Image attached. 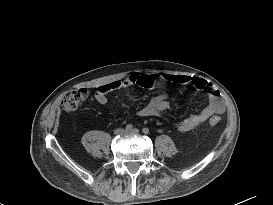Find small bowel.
<instances>
[{
	"instance_id": "obj_1",
	"label": "small bowel",
	"mask_w": 273,
	"mask_h": 205,
	"mask_svg": "<svg viewBox=\"0 0 273 205\" xmlns=\"http://www.w3.org/2000/svg\"><path fill=\"white\" fill-rule=\"evenodd\" d=\"M165 82L190 84L196 89L206 90L209 94V103L201 112L191 114L178 123L180 131L186 132L192 130L204 123L209 117L224 113L225 102L222 99L221 93L211 83L202 78L178 73L141 75L138 72H134L122 79H115L99 85L95 89V99L100 105H106L108 103L107 94L114 90L129 86L149 89L156 84ZM169 107L168 95L162 93L151 98L138 113L141 116H157L169 109Z\"/></svg>"
}]
</instances>
